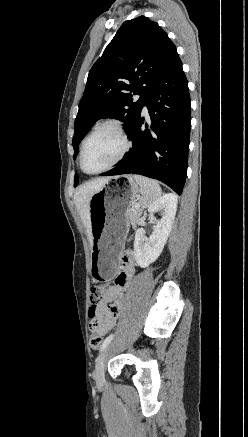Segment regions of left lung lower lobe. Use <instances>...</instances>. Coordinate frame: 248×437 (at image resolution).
I'll list each match as a JSON object with an SVG mask.
<instances>
[{"label":"left lung lower lobe","instance_id":"0a47b994","mask_svg":"<svg viewBox=\"0 0 248 437\" xmlns=\"http://www.w3.org/2000/svg\"><path fill=\"white\" fill-rule=\"evenodd\" d=\"M144 105L149 110L148 122L141 116ZM142 108L128 134L131 151L102 176L140 174L165 183L180 195L187 172L191 100L179 57L153 84Z\"/></svg>","mask_w":248,"mask_h":437}]
</instances>
